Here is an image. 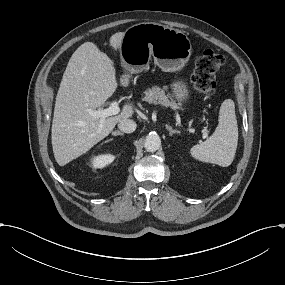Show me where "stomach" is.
I'll return each instance as SVG.
<instances>
[{"instance_id": "stomach-1", "label": "stomach", "mask_w": 285, "mask_h": 285, "mask_svg": "<svg viewBox=\"0 0 285 285\" xmlns=\"http://www.w3.org/2000/svg\"><path fill=\"white\" fill-rule=\"evenodd\" d=\"M120 54L123 66L132 73L145 69L151 57L163 72H180L189 62L192 43L178 29L152 22L141 23L126 31ZM169 88L179 105L189 104L191 88L184 79L172 80Z\"/></svg>"}]
</instances>
